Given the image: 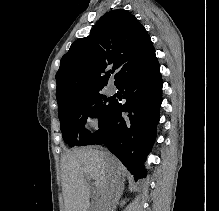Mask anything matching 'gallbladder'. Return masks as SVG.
<instances>
[{
  "instance_id": "bac80fb5",
  "label": "gallbladder",
  "mask_w": 219,
  "mask_h": 211,
  "mask_svg": "<svg viewBox=\"0 0 219 211\" xmlns=\"http://www.w3.org/2000/svg\"><path fill=\"white\" fill-rule=\"evenodd\" d=\"M89 211H96V207H95L94 203H93V205H91Z\"/></svg>"
}]
</instances>
